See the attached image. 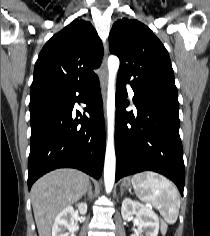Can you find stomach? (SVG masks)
Instances as JSON below:
<instances>
[{
  "label": "stomach",
  "mask_w": 210,
  "mask_h": 236,
  "mask_svg": "<svg viewBox=\"0 0 210 236\" xmlns=\"http://www.w3.org/2000/svg\"><path fill=\"white\" fill-rule=\"evenodd\" d=\"M122 187L130 189V187H131L130 180L129 179L124 180L123 183H122Z\"/></svg>",
  "instance_id": "obj_1"
}]
</instances>
